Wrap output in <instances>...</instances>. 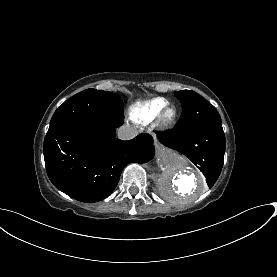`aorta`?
I'll return each mask as SVG.
<instances>
[{
    "instance_id": "aorta-1",
    "label": "aorta",
    "mask_w": 277,
    "mask_h": 277,
    "mask_svg": "<svg viewBox=\"0 0 277 277\" xmlns=\"http://www.w3.org/2000/svg\"><path fill=\"white\" fill-rule=\"evenodd\" d=\"M157 161L161 169L158 179L160 192L173 204L189 203L207 190L202 173L185 157L160 146L157 148Z\"/></svg>"
}]
</instances>
